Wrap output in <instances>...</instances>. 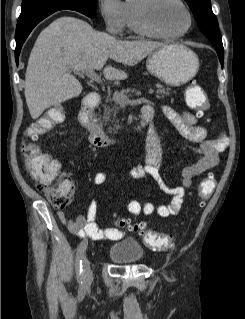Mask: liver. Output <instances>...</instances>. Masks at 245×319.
Instances as JSON below:
<instances>
[{
  "mask_svg": "<svg viewBox=\"0 0 245 319\" xmlns=\"http://www.w3.org/2000/svg\"><path fill=\"white\" fill-rule=\"evenodd\" d=\"M163 43L147 40L123 41L95 31L87 22L63 16L38 36L25 74V98L33 119L52 105L78 97L82 85L72 71L100 70L110 58L134 66ZM108 80H124L127 74L107 65Z\"/></svg>",
  "mask_w": 245,
  "mask_h": 319,
  "instance_id": "1",
  "label": "liver"
}]
</instances>
